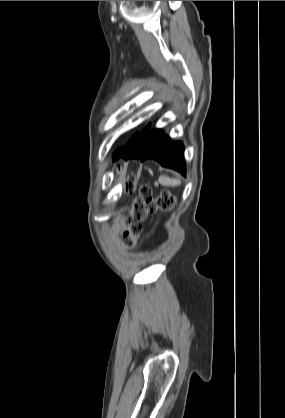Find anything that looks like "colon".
<instances>
[{"mask_svg": "<svg viewBox=\"0 0 285 418\" xmlns=\"http://www.w3.org/2000/svg\"><path fill=\"white\" fill-rule=\"evenodd\" d=\"M126 190H131V183L126 185ZM141 200L138 202L130 212V218L124 220V234L129 238L127 244L129 247L134 246L135 238L141 232V225L139 221L145 218L148 214L161 209H169L175 202V198L168 192H163L160 196L154 197L149 188H143L140 192Z\"/></svg>", "mask_w": 285, "mask_h": 418, "instance_id": "5ec220e1", "label": "colon"}]
</instances>
